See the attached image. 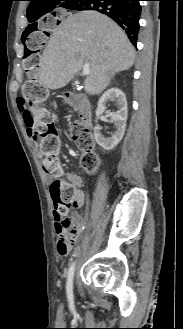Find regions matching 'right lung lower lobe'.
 Segmentation results:
<instances>
[{
  "instance_id": "right-lung-lower-lobe-1",
  "label": "right lung lower lobe",
  "mask_w": 183,
  "mask_h": 329,
  "mask_svg": "<svg viewBox=\"0 0 183 329\" xmlns=\"http://www.w3.org/2000/svg\"><path fill=\"white\" fill-rule=\"evenodd\" d=\"M140 0H72L67 5L70 10H95L117 22L127 33L134 46L137 43Z\"/></svg>"
}]
</instances>
